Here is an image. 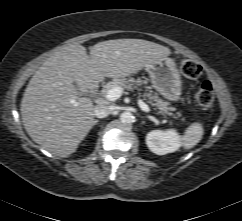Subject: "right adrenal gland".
Segmentation results:
<instances>
[{"instance_id": "right-adrenal-gland-1", "label": "right adrenal gland", "mask_w": 242, "mask_h": 221, "mask_svg": "<svg viewBox=\"0 0 242 221\" xmlns=\"http://www.w3.org/2000/svg\"><path fill=\"white\" fill-rule=\"evenodd\" d=\"M98 122H99V120H94V124L93 125H96Z\"/></svg>"}]
</instances>
